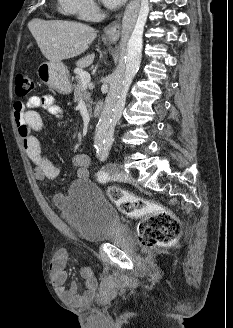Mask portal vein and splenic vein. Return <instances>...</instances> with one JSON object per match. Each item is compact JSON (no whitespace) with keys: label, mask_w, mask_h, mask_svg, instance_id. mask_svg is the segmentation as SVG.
I'll list each match as a JSON object with an SVG mask.
<instances>
[{"label":"portal vein and splenic vein","mask_w":233,"mask_h":328,"mask_svg":"<svg viewBox=\"0 0 233 328\" xmlns=\"http://www.w3.org/2000/svg\"><path fill=\"white\" fill-rule=\"evenodd\" d=\"M75 73L79 75L83 87H86L90 83L91 77L88 73L81 69H75Z\"/></svg>","instance_id":"obj_1"}]
</instances>
